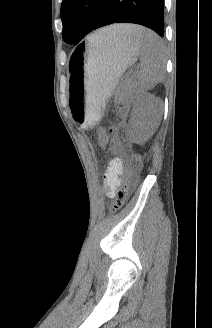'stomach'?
<instances>
[{
    "label": "stomach",
    "instance_id": "obj_1",
    "mask_svg": "<svg viewBox=\"0 0 212 328\" xmlns=\"http://www.w3.org/2000/svg\"><path fill=\"white\" fill-rule=\"evenodd\" d=\"M139 43L106 41L81 43L69 62L70 108L82 127L94 123L120 76L139 55Z\"/></svg>",
    "mask_w": 212,
    "mask_h": 328
}]
</instances>
